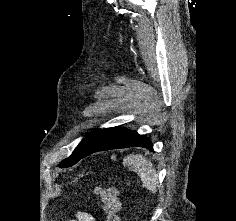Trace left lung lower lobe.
Instances as JSON below:
<instances>
[{
  "instance_id": "left-lung-lower-lobe-1",
  "label": "left lung lower lobe",
  "mask_w": 236,
  "mask_h": 221,
  "mask_svg": "<svg viewBox=\"0 0 236 221\" xmlns=\"http://www.w3.org/2000/svg\"><path fill=\"white\" fill-rule=\"evenodd\" d=\"M133 146L153 150V144L150 140L145 136L139 135L136 131L119 127L99 129L90 142L81 149L77 162L94 152Z\"/></svg>"
}]
</instances>
